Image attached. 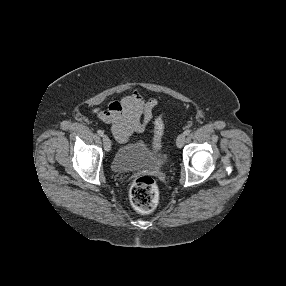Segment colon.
I'll use <instances>...</instances> for the list:
<instances>
[{"label": "colon", "mask_w": 286, "mask_h": 286, "mask_svg": "<svg viewBox=\"0 0 286 286\" xmlns=\"http://www.w3.org/2000/svg\"><path fill=\"white\" fill-rule=\"evenodd\" d=\"M164 128V118L162 115H159L154 122L153 144L155 148L160 146ZM129 196L131 204L136 210L142 213H149L158 204L159 189L152 177L140 176L132 183Z\"/></svg>", "instance_id": "1"}]
</instances>
